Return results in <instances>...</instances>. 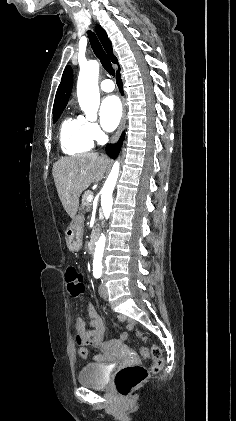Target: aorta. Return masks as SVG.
Instances as JSON below:
<instances>
[{
    "label": "aorta",
    "instance_id": "obj_1",
    "mask_svg": "<svg viewBox=\"0 0 236 421\" xmlns=\"http://www.w3.org/2000/svg\"><path fill=\"white\" fill-rule=\"evenodd\" d=\"M99 76V62L97 60H88L86 66L79 72L77 82V96L79 104L87 114L90 104H94L95 98L99 96L98 86ZM120 162L116 160L113 164V168L101 190V206L105 219H109L112 211L113 204V190L117 182L119 174ZM106 243L105 235L99 237V241L96 245L94 261H93V273H102V257L104 253V247Z\"/></svg>",
    "mask_w": 236,
    "mask_h": 421
}]
</instances>
